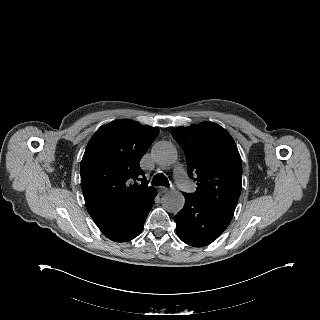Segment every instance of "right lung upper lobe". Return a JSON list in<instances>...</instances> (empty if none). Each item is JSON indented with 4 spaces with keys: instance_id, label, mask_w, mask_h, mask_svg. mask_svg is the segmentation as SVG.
Listing matches in <instances>:
<instances>
[{
    "instance_id": "cb5924a9",
    "label": "right lung upper lobe",
    "mask_w": 320,
    "mask_h": 320,
    "mask_svg": "<svg viewBox=\"0 0 320 320\" xmlns=\"http://www.w3.org/2000/svg\"><path fill=\"white\" fill-rule=\"evenodd\" d=\"M158 134L156 128L119 120L93 135L80 173L86 208L94 222L133 210L156 192L147 186L139 161Z\"/></svg>"
}]
</instances>
